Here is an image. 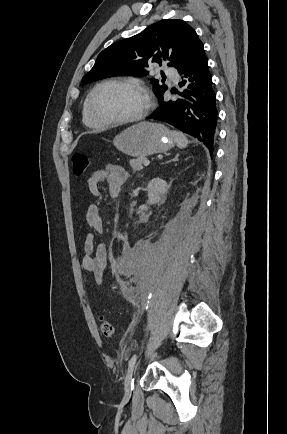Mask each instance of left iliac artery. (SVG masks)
I'll return each instance as SVG.
<instances>
[{
  "label": "left iliac artery",
  "instance_id": "left-iliac-artery-1",
  "mask_svg": "<svg viewBox=\"0 0 287 434\" xmlns=\"http://www.w3.org/2000/svg\"><path fill=\"white\" fill-rule=\"evenodd\" d=\"M148 305H149V301H146L144 304H143V306L147 309L148 308ZM137 359H138V356L136 355V354H134L133 356H132V358L129 360V366H128V369H133L134 370V368H135V366H136V363H137Z\"/></svg>",
  "mask_w": 287,
  "mask_h": 434
}]
</instances>
